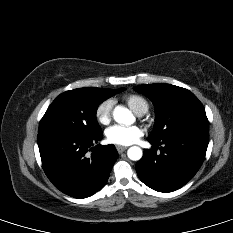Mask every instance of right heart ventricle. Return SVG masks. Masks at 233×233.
<instances>
[{
    "label": "right heart ventricle",
    "mask_w": 233,
    "mask_h": 233,
    "mask_svg": "<svg viewBox=\"0 0 233 233\" xmlns=\"http://www.w3.org/2000/svg\"><path fill=\"white\" fill-rule=\"evenodd\" d=\"M125 101L128 106L138 115L146 113L149 108L147 100L137 94H130L126 96Z\"/></svg>",
    "instance_id": "right-heart-ventricle-1"
}]
</instances>
